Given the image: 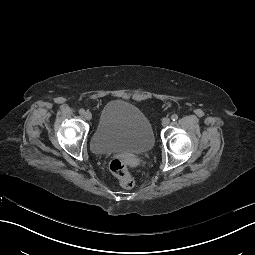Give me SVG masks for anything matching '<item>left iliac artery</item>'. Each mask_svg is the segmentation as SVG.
Returning <instances> with one entry per match:
<instances>
[{
	"mask_svg": "<svg viewBox=\"0 0 255 255\" xmlns=\"http://www.w3.org/2000/svg\"><path fill=\"white\" fill-rule=\"evenodd\" d=\"M178 119V115L177 114H173L172 116H171V120L172 121H176Z\"/></svg>",
	"mask_w": 255,
	"mask_h": 255,
	"instance_id": "left-iliac-artery-1",
	"label": "left iliac artery"
}]
</instances>
